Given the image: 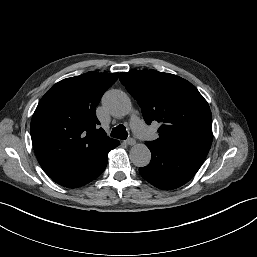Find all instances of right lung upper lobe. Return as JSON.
<instances>
[{"label": "right lung upper lobe", "instance_id": "1", "mask_svg": "<svg viewBox=\"0 0 257 257\" xmlns=\"http://www.w3.org/2000/svg\"><path fill=\"white\" fill-rule=\"evenodd\" d=\"M118 74L88 72L64 79L40 100L30 132L36 157L50 178L77 173L115 142L95 108Z\"/></svg>", "mask_w": 257, "mask_h": 257}]
</instances>
